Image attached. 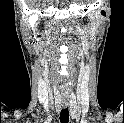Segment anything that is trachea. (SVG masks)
<instances>
[{
	"instance_id": "obj_1",
	"label": "trachea",
	"mask_w": 124,
	"mask_h": 123,
	"mask_svg": "<svg viewBox=\"0 0 124 123\" xmlns=\"http://www.w3.org/2000/svg\"><path fill=\"white\" fill-rule=\"evenodd\" d=\"M60 122L61 123H68L69 122V110L67 108L61 110Z\"/></svg>"
}]
</instances>
